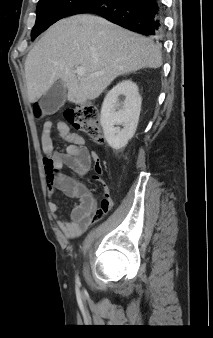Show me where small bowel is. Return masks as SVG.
<instances>
[{
    "mask_svg": "<svg viewBox=\"0 0 213 338\" xmlns=\"http://www.w3.org/2000/svg\"><path fill=\"white\" fill-rule=\"evenodd\" d=\"M54 128L58 137L68 143L65 152L55 150L52 135ZM41 139L44 152L43 168L49 196L53 197L58 191H61L67 197L76 201L69 219L62 218L57 214L59 206L56 202L49 204V210L53 214L58 228L64 235L70 238L77 237L83 233L90 223L97 220L96 211H94L96 196L86 185L74 177L60 174L51 180L47 169L49 164L54 162V165L59 169L68 167L78 175L84 176L91 169L93 163L95 164V168L100 170L98 155L90 152L85 146L84 138L78 133L71 132L65 122H58L54 126L53 122L46 121L43 125ZM104 199H107L112 206L113 201L108 194L105 195Z\"/></svg>",
    "mask_w": 213,
    "mask_h": 338,
    "instance_id": "obj_1",
    "label": "small bowel"
}]
</instances>
